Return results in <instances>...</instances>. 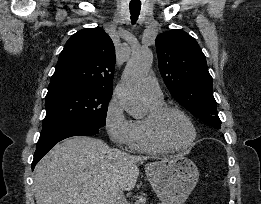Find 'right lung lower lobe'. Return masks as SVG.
<instances>
[{
	"instance_id": "1",
	"label": "right lung lower lobe",
	"mask_w": 261,
	"mask_h": 204,
	"mask_svg": "<svg viewBox=\"0 0 261 204\" xmlns=\"http://www.w3.org/2000/svg\"><path fill=\"white\" fill-rule=\"evenodd\" d=\"M100 127L92 123H70L42 129L32 162V170L37 162L59 141L77 135H95Z\"/></svg>"
}]
</instances>
